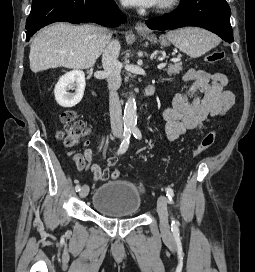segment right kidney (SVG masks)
<instances>
[{
	"mask_svg": "<svg viewBox=\"0 0 255 272\" xmlns=\"http://www.w3.org/2000/svg\"><path fill=\"white\" fill-rule=\"evenodd\" d=\"M85 74L80 70H73L59 78L54 89L56 102L65 108H71L77 105L84 95ZM76 87V93L70 94L68 89Z\"/></svg>",
	"mask_w": 255,
	"mask_h": 272,
	"instance_id": "obj_1",
	"label": "right kidney"
}]
</instances>
